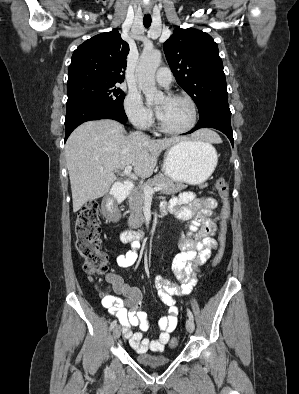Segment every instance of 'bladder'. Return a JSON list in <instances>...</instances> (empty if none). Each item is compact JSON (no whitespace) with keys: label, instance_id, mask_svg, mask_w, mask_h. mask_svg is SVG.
Here are the masks:
<instances>
[{"label":"bladder","instance_id":"31cf9c89","mask_svg":"<svg viewBox=\"0 0 299 394\" xmlns=\"http://www.w3.org/2000/svg\"><path fill=\"white\" fill-rule=\"evenodd\" d=\"M136 361L143 367L155 369L170 364L171 358L165 355L143 353L136 355Z\"/></svg>","mask_w":299,"mask_h":394}]
</instances>
